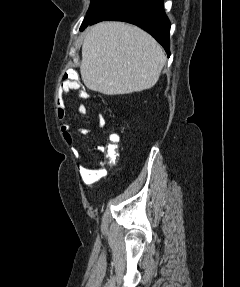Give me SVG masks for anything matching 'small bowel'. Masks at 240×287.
Instances as JSON below:
<instances>
[{"label": "small bowel", "mask_w": 240, "mask_h": 287, "mask_svg": "<svg viewBox=\"0 0 240 287\" xmlns=\"http://www.w3.org/2000/svg\"><path fill=\"white\" fill-rule=\"evenodd\" d=\"M72 90H77L78 96L81 99L89 98L88 93L85 90L81 89L80 83L76 79H66L60 84L58 88L57 95H56L57 117L61 121V132H62L63 139L68 144H72L74 141V138L70 132L71 125L65 121V116H66L65 98ZM77 111L79 114L85 115L87 113V107L84 104H80L77 107ZM97 125L99 128H103L106 125V119L101 114L98 116ZM80 132L86 135V134H89L91 130L88 128H80ZM96 150L98 152H103L104 146L99 145L96 147Z\"/></svg>", "instance_id": "obj_1"}]
</instances>
